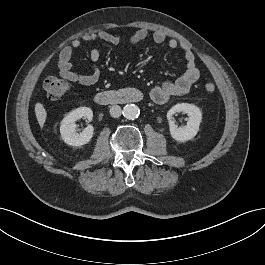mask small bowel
<instances>
[{"label":"small bowel","mask_w":265,"mask_h":265,"mask_svg":"<svg viewBox=\"0 0 265 265\" xmlns=\"http://www.w3.org/2000/svg\"><path fill=\"white\" fill-rule=\"evenodd\" d=\"M149 36V31L146 28L138 29L127 40L128 45H136L145 40ZM152 40L157 44L167 42V45L172 50H180L185 60V71L182 75L172 81H165L156 85L150 92L151 99L159 105L168 103L173 97L182 96L189 92L192 85L200 78V70L196 65L195 55L191 47L186 43H180L176 39H168L167 36L157 31L151 35ZM103 41L112 45H120L121 38L118 35L99 31L92 34L84 35L81 39H74L70 45L65 46L59 55L58 68L60 76L72 83L83 86H91L96 84L100 77L101 71L99 61L101 52L98 47H92L89 52V69L90 73L81 74L74 70L72 57L75 50L82 47L83 42Z\"/></svg>","instance_id":"c3829d8e"}]
</instances>
